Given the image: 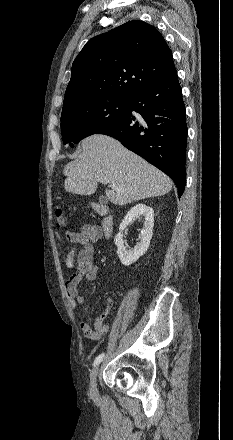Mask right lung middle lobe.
<instances>
[{
	"mask_svg": "<svg viewBox=\"0 0 233 440\" xmlns=\"http://www.w3.org/2000/svg\"><path fill=\"white\" fill-rule=\"evenodd\" d=\"M129 99L92 98L73 103L63 108L61 132L63 143H78L83 138L119 119L127 109Z\"/></svg>",
	"mask_w": 233,
	"mask_h": 440,
	"instance_id": "dd1d6c3e",
	"label": "right lung middle lobe"
}]
</instances>
